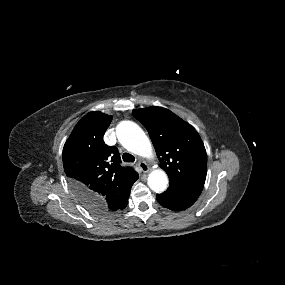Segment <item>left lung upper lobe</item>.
Returning a JSON list of instances; mask_svg holds the SVG:
<instances>
[{"mask_svg":"<svg viewBox=\"0 0 285 285\" xmlns=\"http://www.w3.org/2000/svg\"><path fill=\"white\" fill-rule=\"evenodd\" d=\"M133 115L147 129L170 183L202 190L207 174V154L197 131L162 107L136 109Z\"/></svg>","mask_w":285,"mask_h":285,"instance_id":"1","label":"left lung upper lobe"}]
</instances>
